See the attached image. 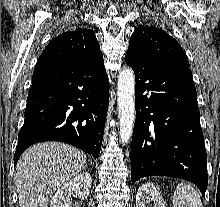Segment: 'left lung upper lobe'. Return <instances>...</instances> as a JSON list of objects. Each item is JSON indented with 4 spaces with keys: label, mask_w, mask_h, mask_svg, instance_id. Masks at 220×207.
Wrapping results in <instances>:
<instances>
[{
    "label": "left lung upper lobe",
    "mask_w": 220,
    "mask_h": 207,
    "mask_svg": "<svg viewBox=\"0 0 220 207\" xmlns=\"http://www.w3.org/2000/svg\"><path fill=\"white\" fill-rule=\"evenodd\" d=\"M127 52L157 66L180 64L189 67L187 56L176 39L155 26L137 28L131 36Z\"/></svg>",
    "instance_id": "1"
}]
</instances>
